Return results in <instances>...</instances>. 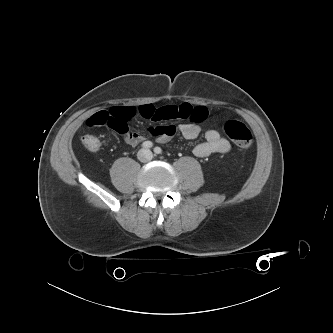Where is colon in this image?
<instances>
[{
    "label": "colon",
    "instance_id": "colon-1",
    "mask_svg": "<svg viewBox=\"0 0 333 333\" xmlns=\"http://www.w3.org/2000/svg\"><path fill=\"white\" fill-rule=\"evenodd\" d=\"M135 115V110L130 108L125 111V121L128 122ZM111 118L108 114L99 115V123L108 125ZM225 134L239 147L248 148L253 142V136L249 128L238 120H228L223 126ZM83 146L89 151H97L101 146L100 139L93 134H86L82 137Z\"/></svg>",
    "mask_w": 333,
    "mask_h": 333
}]
</instances>
